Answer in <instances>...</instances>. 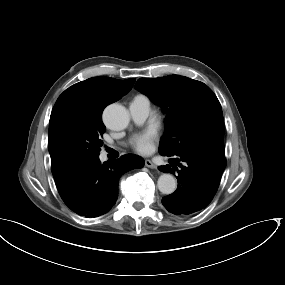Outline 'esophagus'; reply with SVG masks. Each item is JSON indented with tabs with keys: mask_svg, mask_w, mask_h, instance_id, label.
<instances>
[{
	"mask_svg": "<svg viewBox=\"0 0 285 285\" xmlns=\"http://www.w3.org/2000/svg\"><path fill=\"white\" fill-rule=\"evenodd\" d=\"M145 166L146 167H149V168H152V169H156L157 168V165L155 163H153L151 160L149 159H146L145 160Z\"/></svg>",
	"mask_w": 285,
	"mask_h": 285,
	"instance_id": "1",
	"label": "esophagus"
}]
</instances>
